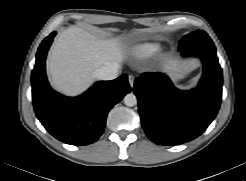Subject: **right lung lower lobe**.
I'll return each instance as SVG.
<instances>
[{
	"mask_svg": "<svg viewBox=\"0 0 246 181\" xmlns=\"http://www.w3.org/2000/svg\"><path fill=\"white\" fill-rule=\"evenodd\" d=\"M56 32L46 37L36 54L31 74L32 99L37 118L56 139L71 145H88L103 133L110 109L131 91L126 74L95 83L81 96L70 98L49 85L45 59Z\"/></svg>",
	"mask_w": 246,
	"mask_h": 181,
	"instance_id": "obj_1",
	"label": "right lung lower lobe"
}]
</instances>
